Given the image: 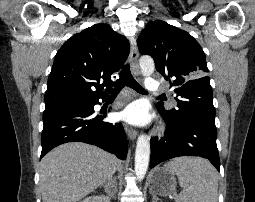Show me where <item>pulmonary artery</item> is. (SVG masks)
<instances>
[{
  "mask_svg": "<svg viewBox=\"0 0 255 202\" xmlns=\"http://www.w3.org/2000/svg\"><path fill=\"white\" fill-rule=\"evenodd\" d=\"M160 82L154 78L148 77L145 81V87L148 91L156 92L159 90Z\"/></svg>",
  "mask_w": 255,
  "mask_h": 202,
  "instance_id": "1",
  "label": "pulmonary artery"
}]
</instances>
